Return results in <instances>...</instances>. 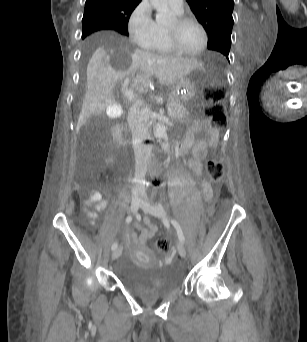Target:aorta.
I'll list each match as a JSON object with an SVG mask.
<instances>
[{
    "label": "aorta",
    "mask_w": 307,
    "mask_h": 342,
    "mask_svg": "<svg viewBox=\"0 0 307 342\" xmlns=\"http://www.w3.org/2000/svg\"><path fill=\"white\" fill-rule=\"evenodd\" d=\"M151 6L156 10V22L165 24L169 20L170 8L167 0H149ZM165 124H155L153 128L155 138H159L160 146L164 152H169V142Z\"/></svg>",
    "instance_id": "aorta-1"
}]
</instances>
